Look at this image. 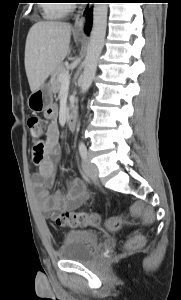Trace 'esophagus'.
Here are the masks:
<instances>
[{"label":"esophagus","mask_w":181,"mask_h":300,"mask_svg":"<svg viewBox=\"0 0 181 300\" xmlns=\"http://www.w3.org/2000/svg\"><path fill=\"white\" fill-rule=\"evenodd\" d=\"M91 5H88V3H86V5L81 6L77 13L75 14V22H74V26H73V31L75 33H79V34H84V26L86 24V16H87V12L90 10Z\"/></svg>","instance_id":"obj_1"}]
</instances>
